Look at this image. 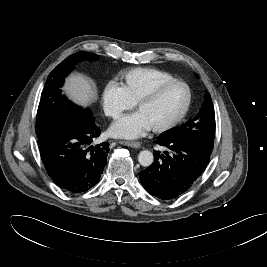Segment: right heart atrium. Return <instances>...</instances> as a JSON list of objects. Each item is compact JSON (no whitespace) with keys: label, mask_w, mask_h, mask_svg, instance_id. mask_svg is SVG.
I'll list each match as a JSON object with an SVG mask.
<instances>
[{"label":"right heart atrium","mask_w":267,"mask_h":267,"mask_svg":"<svg viewBox=\"0 0 267 267\" xmlns=\"http://www.w3.org/2000/svg\"><path fill=\"white\" fill-rule=\"evenodd\" d=\"M102 107L107 116L117 118L124 111L132 109L134 102L129 98L123 85L111 82L103 90Z\"/></svg>","instance_id":"d8ad5b80"}]
</instances>
